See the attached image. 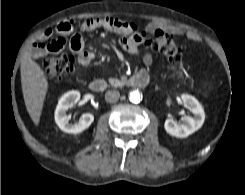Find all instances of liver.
Masks as SVG:
<instances>
[{
	"mask_svg": "<svg viewBox=\"0 0 245 195\" xmlns=\"http://www.w3.org/2000/svg\"><path fill=\"white\" fill-rule=\"evenodd\" d=\"M20 70L26 109L34 124L38 125L48 90V81L41 67L29 54L24 55Z\"/></svg>",
	"mask_w": 245,
	"mask_h": 195,
	"instance_id": "obj_1",
	"label": "liver"
}]
</instances>
